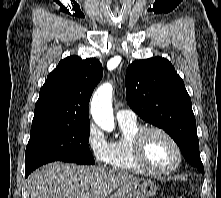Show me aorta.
I'll return each mask as SVG.
<instances>
[{"label": "aorta", "instance_id": "762f6f07", "mask_svg": "<svg viewBox=\"0 0 221 198\" xmlns=\"http://www.w3.org/2000/svg\"><path fill=\"white\" fill-rule=\"evenodd\" d=\"M112 93L113 86L111 83L102 84L93 94L90 106L94 122L107 132H111L115 128Z\"/></svg>", "mask_w": 221, "mask_h": 198}]
</instances>
